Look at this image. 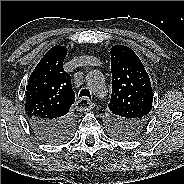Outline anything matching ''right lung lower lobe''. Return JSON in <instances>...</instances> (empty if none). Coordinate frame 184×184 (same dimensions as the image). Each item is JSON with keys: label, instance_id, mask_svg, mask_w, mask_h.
<instances>
[{"label": "right lung lower lobe", "instance_id": "1", "mask_svg": "<svg viewBox=\"0 0 184 184\" xmlns=\"http://www.w3.org/2000/svg\"><path fill=\"white\" fill-rule=\"evenodd\" d=\"M29 122L34 132L45 142L53 140L54 137L62 135V132H66L74 126V120L71 115L59 121L45 122L34 119L29 120Z\"/></svg>", "mask_w": 184, "mask_h": 184}]
</instances>
